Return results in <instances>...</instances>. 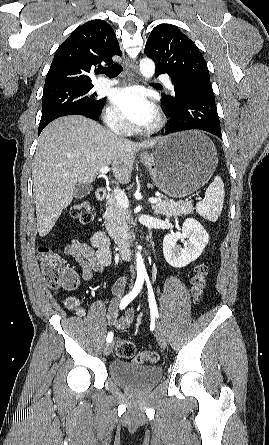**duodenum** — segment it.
<instances>
[{
    "label": "duodenum",
    "instance_id": "1",
    "mask_svg": "<svg viewBox=\"0 0 269 445\" xmlns=\"http://www.w3.org/2000/svg\"><path fill=\"white\" fill-rule=\"evenodd\" d=\"M108 197V192L104 188H98L96 191V198L99 201H104ZM118 253L121 255V257L125 259H129L133 256L134 249L132 244H130L127 241H120L117 246Z\"/></svg>",
    "mask_w": 269,
    "mask_h": 445
}]
</instances>
